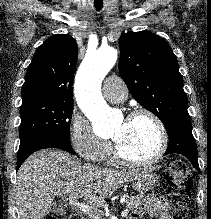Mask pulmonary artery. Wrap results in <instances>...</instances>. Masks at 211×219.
Returning a JSON list of instances; mask_svg holds the SVG:
<instances>
[{
  "label": "pulmonary artery",
  "instance_id": "obj_1",
  "mask_svg": "<svg viewBox=\"0 0 211 219\" xmlns=\"http://www.w3.org/2000/svg\"><path fill=\"white\" fill-rule=\"evenodd\" d=\"M103 93L107 100L113 103L123 102L127 98V87L119 76L113 75L104 81Z\"/></svg>",
  "mask_w": 211,
  "mask_h": 219
}]
</instances>
